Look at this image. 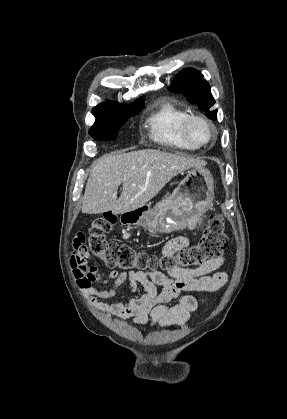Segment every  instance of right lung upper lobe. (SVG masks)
Segmentation results:
<instances>
[{"label":"right lung upper lobe","mask_w":287,"mask_h":419,"mask_svg":"<svg viewBox=\"0 0 287 419\" xmlns=\"http://www.w3.org/2000/svg\"><path fill=\"white\" fill-rule=\"evenodd\" d=\"M144 106V100L143 99H138L132 107H128L124 104H119L116 102H106V103H101L99 105H97L96 107H94L92 109V112L94 114H100V113H104V112H112V111H116V110H121V109H133V108H138V107H142Z\"/></svg>","instance_id":"obj_1"}]
</instances>
